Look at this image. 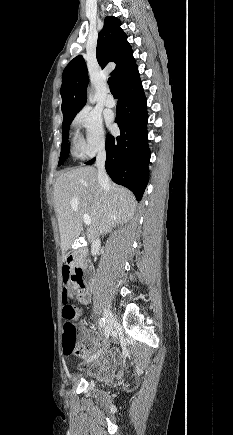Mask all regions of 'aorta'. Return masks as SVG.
I'll return each instance as SVG.
<instances>
[{"label": "aorta", "instance_id": "1", "mask_svg": "<svg viewBox=\"0 0 233 435\" xmlns=\"http://www.w3.org/2000/svg\"><path fill=\"white\" fill-rule=\"evenodd\" d=\"M88 98H89V102H90V103H93V102H94V100H93V98H92V96H91L90 94H89V97H88Z\"/></svg>", "mask_w": 233, "mask_h": 435}]
</instances>
